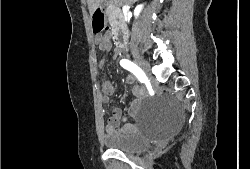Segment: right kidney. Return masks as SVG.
Masks as SVG:
<instances>
[{"label": "right kidney", "mask_w": 250, "mask_h": 169, "mask_svg": "<svg viewBox=\"0 0 250 169\" xmlns=\"http://www.w3.org/2000/svg\"><path fill=\"white\" fill-rule=\"evenodd\" d=\"M144 4H137L136 8H134V14L135 16H139Z\"/></svg>", "instance_id": "right-kidney-1"}]
</instances>
